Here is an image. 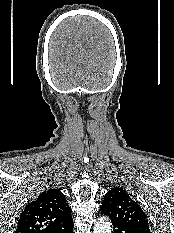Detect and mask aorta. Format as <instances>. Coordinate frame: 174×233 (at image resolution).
Instances as JSON below:
<instances>
[{"label": "aorta", "mask_w": 174, "mask_h": 233, "mask_svg": "<svg viewBox=\"0 0 174 233\" xmlns=\"http://www.w3.org/2000/svg\"><path fill=\"white\" fill-rule=\"evenodd\" d=\"M111 231L110 221L106 217H101L96 222L93 233H111Z\"/></svg>", "instance_id": "762f6f07"}]
</instances>
